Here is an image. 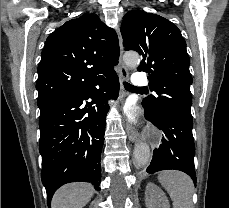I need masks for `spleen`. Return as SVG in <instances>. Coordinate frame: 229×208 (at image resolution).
Here are the masks:
<instances>
[{
	"mask_svg": "<svg viewBox=\"0 0 229 208\" xmlns=\"http://www.w3.org/2000/svg\"><path fill=\"white\" fill-rule=\"evenodd\" d=\"M158 180L167 190L173 202V208H194L192 202L194 184L187 174L165 170V172H160Z\"/></svg>",
	"mask_w": 229,
	"mask_h": 208,
	"instance_id": "obj_1",
	"label": "spleen"
}]
</instances>
